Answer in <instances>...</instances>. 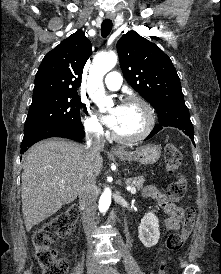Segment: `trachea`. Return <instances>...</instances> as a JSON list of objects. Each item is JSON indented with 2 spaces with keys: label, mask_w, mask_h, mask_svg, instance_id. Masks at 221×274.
<instances>
[{
  "label": "trachea",
  "mask_w": 221,
  "mask_h": 274,
  "mask_svg": "<svg viewBox=\"0 0 221 274\" xmlns=\"http://www.w3.org/2000/svg\"><path fill=\"white\" fill-rule=\"evenodd\" d=\"M112 30V21L110 19H105L101 25V35L106 38Z\"/></svg>",
  "instance_id": "trachea-1"
}]
</instances>
